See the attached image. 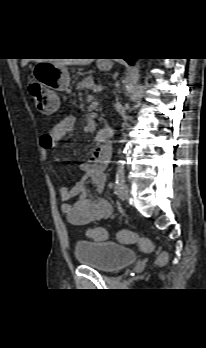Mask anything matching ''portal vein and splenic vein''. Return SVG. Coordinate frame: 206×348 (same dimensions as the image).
<instances>
[{"mask_svg": "<svg viewBox=\"0 0 206 348\" xmlns=\"http://www.w3.org/2000/svg\"><path fill=\"white\" fill-rule=\"evenodd\" d=\"M92 90H93L94 93H97V92L102 91V90H103V87H102V86H99V85H98V86H94Z\"/></svg>", "mask_w": 206, "mask_h": 348, "instance_id": "1", "label": "portal vein and splenic vein"}]
</instances>
